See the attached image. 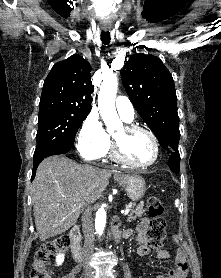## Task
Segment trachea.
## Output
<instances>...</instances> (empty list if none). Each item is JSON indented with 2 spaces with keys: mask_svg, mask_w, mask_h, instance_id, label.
<instances>
[{
  "mask_svg": "<svg viewBox=\"0 0 221 278\" xmlns=\"http://www.w3.org/2000/svg\"><path fill=\"white\" fill-rule=\"evenodd\" d=\"M101 41L104 45L109 44V42H110V33H109V31H102L101 32Z\"/></svg>",
  "mask_w": 221,
  "mask_h": 278,
  "instance_id": "3493384b",
  "label": "trachea"
}]
</instances>
